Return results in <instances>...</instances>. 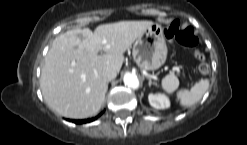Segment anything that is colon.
<instances>
[{
  "mask_svg": "<svg viewBox=\"0 0 247 145\" xmlns=\"http://www.w3.org/2000/svg\"><path fill=\"white\" fill-rule=\"evenodd\" d=\"M164 34L169 41H175L183 46L194 49V56L200 62L198 67L199 72L202 75H207L210 72V66L205 62V55L196 48L198 39L192 28H183L180 22L176 20L166 27Z\"/></svg>",
  "mask_w": 247,
  "mask_h": 145,
  "instance_id": "5ec220e1",
  "label": "colon"
}]
</instances>
